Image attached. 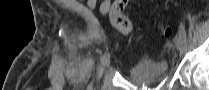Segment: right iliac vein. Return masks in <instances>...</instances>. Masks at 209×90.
Segmentation results:
<instances>
[{
  "label": "right iliac vein",
  "instance_id": "63e3f726",
  "mask_svg": "<svg viewBox=\"0 0 209 90\" xmlns=\"http://www.w3.org/2000/svg\"><path fill=\"white\" fill-rule=\"evenodd\" d=\"M109 63H110V60H109V58H108L107 60H105V61L103 62L102 68L104 69L105 67H107V66L109 65Z\"/></svg>",
  "mask_w": 209,
  "mask_h": 90
}]
</instances>
